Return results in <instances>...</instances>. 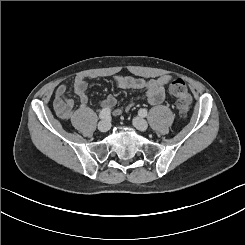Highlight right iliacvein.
I'll use <instances>...</instances> for the list:
<instances>
[{
  "instance_id": "obj_1",
  "label": "right iliac vein",
  "mask_w": 245,
  "mask_h": 245,
  "mask_svg": "<svg viewBox=\"0 0 245 245\" xmlns=\"http://www.w3.org/2000/svg\"><path fill=\"white\" fill-rule=\"evenodd\" d=\"M98 129L100 132L105 133L110 129V123L106 120H103L98 124Z\"/></svg>"
}]
</instances>
